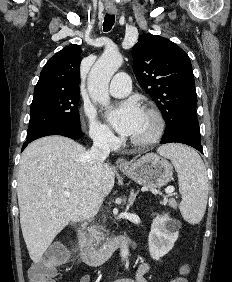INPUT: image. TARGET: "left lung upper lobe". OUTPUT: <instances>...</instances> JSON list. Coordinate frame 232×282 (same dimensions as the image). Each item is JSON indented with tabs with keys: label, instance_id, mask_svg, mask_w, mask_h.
I'll use <instances>...</instances> for the list:
<instances>
[{
	"label": "left lung upper lobe",
	"instance_id": "obj_1",
	"mask_svg": "<svg viewBox=\"0 0 232 282\" xmlns=\"http://www.w3.org/2000/svg\"><path fill=\"white\" fill-rule=\"evenodd\" d=\"M132 56L136 78L166 124H176L182 116L197 119L194 75L185 51L166 38L148 34L139 38Z\"/></svg>",
	"mask_w": 232,
	"mask_h": 282
}]
</instances>
